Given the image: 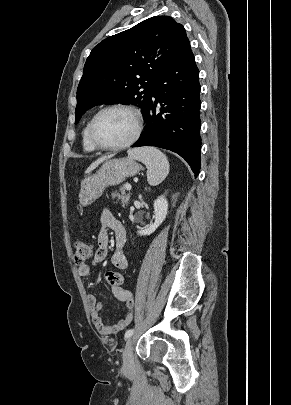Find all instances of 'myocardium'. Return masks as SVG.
<instances>
[{"instance_id":"myocardium-1","label":"myocardium","mask_w":291,"mask_h":405,"mask_svg":"<svg viewBox=\"0 0 291 405\" xmlns=\"http://www.w3.org/2000/svg\"><path fill=\"white\" fill-rule=\"evenodd\" d=\"M111 110H123L126 112H129L134 120H135V131L133 133V135L125 142L118 144V145H104L101 144L95 137V133H94V128H95V124L97 119L105 112L107 111H111ZM143 130V117L141 112L128 104H121V103H116V104H111V105H107L103 108H101L90 120L89 124H88V139L91 143V145L98 150H103V151H119V150H123L126 149L130 146H132L140 137L141 133Z\"/></svg>"}]
</instances>
